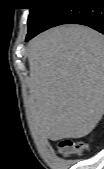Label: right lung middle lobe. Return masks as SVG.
Wrapping results in <instances>:
<instances>
[{
    "instance_id": "obj_1",
    "label": "right lung middle lobe",
    "mask_w": 104,
    "mask_h": 169,
    "mask_svg": "<svg viewBox=\"0 0 104 169\" xmlns=\"http://www.w3.org/2000/svg\"><path fill=\"white\" fill-rule=\"evenodd\" d=\"M28 18V33L38 29L56 9V0H31Z\"/></svg>"
}]
</instances>
